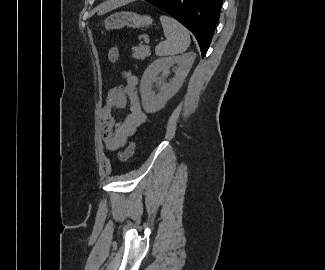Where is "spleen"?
<instances>
[{"instance_id":"spleen-1","label":"spleen","mask_w":325,"mask_h":270,"mask_svg":"<svg viewBox=\"0 0 325 270\" xmlns=\"http://www.w3.org/2000/svg\"><path fill=\"white\" fill-rule=\"evenodd\" d=\"M160 21L166 40L155 48L158 56H173L185 52L190 45L188 30L172 17L162 15Z\"/></svg>"}]
</instances>
